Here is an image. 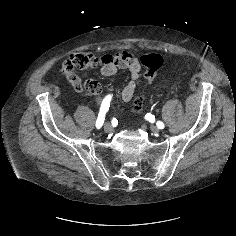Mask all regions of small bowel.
<instances>
[{
  "mask_svg": "<svg viewBox=\"0 0 236 236\" xmlns=\"http://www.w3.org/2000/svg\"><path fill=\"white\" fill-rule=\"evenodd\" d=\"M72 64L74 70L64 73L66 79L70 82L77 92L84 88L88 91L99 94L102 91L101 85L94 80L83 81L77 74L76 70L99 67L100 73L105 77L115 75L121 69H127L130 72V81L121 92L124 101H130L136 91L141 72V64L138 58L127 51L107 53L101 56H95L91 53L77 52L65 61ZM64 62V63H65Z\"/></svg>",
  "mask_w": 236,
  "mask_h": 236,
  "instance_id": "small-bowel-1",
  "label": "small bowel"
}]
</instances>
